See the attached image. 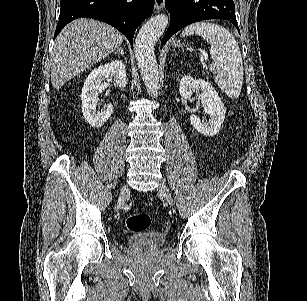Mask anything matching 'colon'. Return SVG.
Wrapping results in <instances>:
<instances>
[{
    "label": "colon",
    "instance_id": "5ec220e1",
    "mask_svg": "<svg viewBox=\"0 0 307 301\" xmlns=\"http://www.w3.org/2000/svg\"><path fill=\"white\" fill-rule=\"evenodd\" d=\"M151 225V217L147 213L132 214L126 219V227L132 232H143Z\"/></svg>",
    "mask_w": 307,
    "mask_h": 301
}]
</instances>
